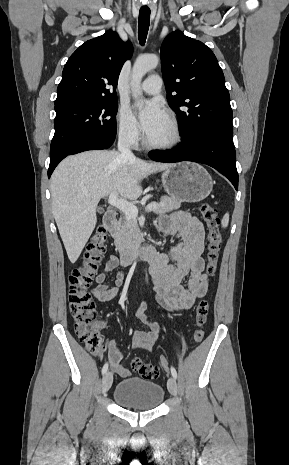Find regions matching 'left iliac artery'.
<instances>
[{"instance_id":"obj_1","label":"left iliac artery","mask_w":289,"mask_h":465,"mask_svg":"<svg viewBox=\"0 0 289 465\" xmlns=\"http://www.w3.org/2000/svg\"><path fill=\"white\" fill-rule=\"evenodd\" d=\"M171 374L175 379L177 378V372L173 366H171Z\"/></svg>"}]
</instances>
